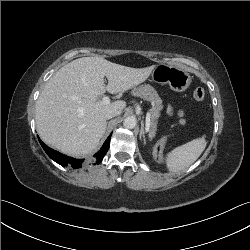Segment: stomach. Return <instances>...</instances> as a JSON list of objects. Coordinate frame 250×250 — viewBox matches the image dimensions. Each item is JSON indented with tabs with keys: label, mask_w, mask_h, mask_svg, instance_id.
I'll use <instances>...</instances> for the list:
<instances>
[{
	"label": "stomach",
	"mask_w": 250,
	"mask_h": 250,
	"mask_svg": "<svg viewBox=\"0 0 250 250\" xmlns=\"http://www.w3.org/2000/svg\"><path fill=\"white\" fill-rule=\"evenodd\" d=\"M152 77L159 83H166L176 92L185 91L190 83L191 76L186 70L170 65H157L152 72Z\"/></svg>",
	"instance_id": "stomach-1"
}]
</instances>
